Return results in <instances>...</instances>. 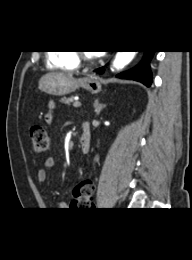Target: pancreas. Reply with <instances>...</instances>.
Here are the masks:
<instances>
[{
  "mask_svg": "<svg viewBox=\"0 0 192 260\" xmlns=\"http://www.w3.org/2000/svg\"><path fill=\"white\" fill-rule=\"evenodd\" d=\"M62 103H64V104H70L71 102H73L74 101V97L73 96H71V97H63V98H61V100H60Z\"/></svg>",
  "mask_w": 192,
  "mask_h": 260,
  "instance_id": "pancreas-1",
  "label": "pancreas"
}]
</instances>
